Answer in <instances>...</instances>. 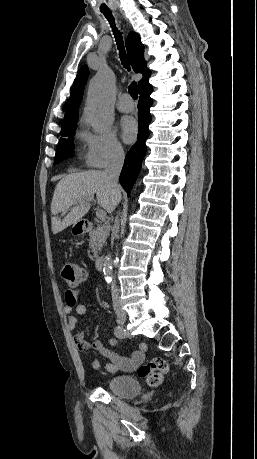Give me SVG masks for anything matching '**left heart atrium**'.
Segmentation results:
<instances>
[{
	"instance_id": "1",
	"label": "left heart atrium",
	"mask_w": 257,
	"mask_h": 459,
	"mask_svg": "<svg viewBox=\"0 0 257 459\" xmlns=\"http://www.w3.org/2000/svg\"><path fill=\"white\" fill-rule=\"evenodd\" d=\"M138 126L136 121L131 117H125L121 121V133L125 142L134 141L137 136Z\"/></svg>"
}]
</instances>
